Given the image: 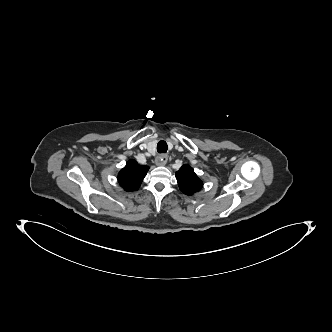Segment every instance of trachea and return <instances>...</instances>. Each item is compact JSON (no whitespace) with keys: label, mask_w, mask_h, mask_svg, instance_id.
I'll return each mask as SVG.
<instances>
[{"label":"trachea","mask_w":332,"mask_h":332,"mask_svg":"<svg viewBox=\"0 0 332 332\" xmlns=\"http://www.w3.org/2000/svg\"><path fill=\"white\" fill-rule=\"evenodd\" d=\"M168 149L167 143L163 140L159 141L157 144L158 153H166Z\"/></svg>","instance_id":"3493384b"}]
</instances>
